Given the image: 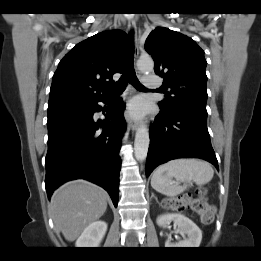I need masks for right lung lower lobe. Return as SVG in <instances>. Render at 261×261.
<instances>
[{"instance_id": "right-lung-lower-lobe-1", "label": "right lung lower lobe", "mask_w": 261, "mask_h": 261, "mask_svg": "<svg viewBox=\"0 0 261 261\" xmlns=\"http://www.w3.org/2000/svg\"><path fill=\"white\" fill-rule=\"evenodd\" d=\"M98 102L110 105L104 120L93 117ZM121 99L108 102V95L48 111V152L45 187L48 198L63 183L84 178L108 191L117 207L121 137L126 127ZM105 111V109H102ZM102 128V129H100Z\"/></svg>"}]
</instances>
